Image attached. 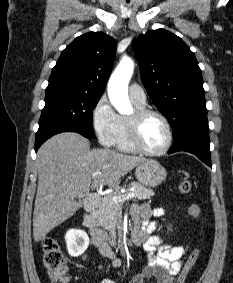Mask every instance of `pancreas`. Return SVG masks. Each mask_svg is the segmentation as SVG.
Instances as JSON below:
<instances>
[{"instance_id":"obj_1","label":"pancreas","mask_w":233,"mask_h":283,"mask_svg":"<svg viewBox=\"0 0 233 283\" xmlns=\"http://www.w3.org/2000/svg\"><path fill=\"white\" fill-rule=\"evenodd\" d=\"M129 187L135 189V198L138 200L150 199V197L154 196L152 189H148L138 182H131ZM115 195H121V192L116 191L104 197L99 210L96 212L99 226L108 230L112 235L116 234L115 229L122 222V204L113 200L112 197Z\"/></svg>"}]
</instances>
